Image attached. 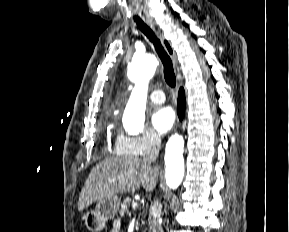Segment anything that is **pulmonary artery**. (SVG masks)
<instances>
[{
    "label": "pulmonary artery",
    "instance_id": "1",
    "mask_svg": "<svg viewBox=\"0 0 289 232\" xmlns=\"http://www.w3.org/2000/svg\"><path fill=\"white\" fill-rule=\"evenodd\" d=\"M149 99L157 104H161L165 101V95L161 90H154L149 94Z\"/></svg>",
    "mask_w": 289,
    "mask_h": 232
}]
</instances>
